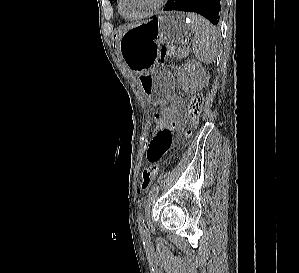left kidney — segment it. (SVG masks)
Wrapping results in <instances>:
<instances>
[{
    "label": "left kidney",
    "mask_w": 299,
    "mask_h": 273,
    "mask_svg": "<svg viewBox=\"0 0 299 273\" xmlns=\"http://www.w3.org/2000/svg\"><path fill=\"white\" fill-rule=\"evenodd\" d=\"M178 80L186 92L199 91L205 85L204 69L197 61L187 60L183 67L178 70Z\"/></svg>",
    "instance_id": "obj_1"
}]
</instances>
